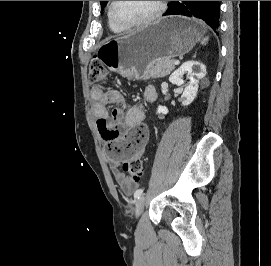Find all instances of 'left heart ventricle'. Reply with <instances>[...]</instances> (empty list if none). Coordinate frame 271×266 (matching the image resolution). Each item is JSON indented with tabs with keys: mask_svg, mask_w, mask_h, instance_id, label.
Here are the masks:
<instances>
[{
	"mask_svg": "<svg viewBox=\"0 0 271 266\" xmlns=\"http://www.w3.org/2000/svg\"><path fill=\"white\" fill-rule=\"evenodd\" d=\"M157 1H116L114 14L124 23L139 22L150 16L156 9Z\"/></svg>",
	"mask_w": 271,
	"mask_h": 266,
	"instance_id": "left-heart-ventricle-1",
	"label": "left heart ventricle"
}]
</instances>
